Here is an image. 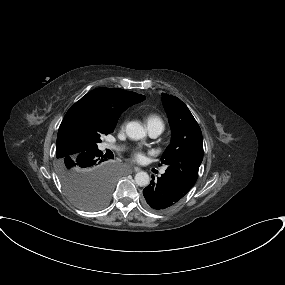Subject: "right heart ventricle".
Here are the masks:
<instances>
[{
	"label": "right heart ventricle",
	"instance_id": "obj_1",
	"mask_svg": "<svg viewBox=\"0 0 285 285\" xmlns=\"http://www.w3.org/2000/svg\"><path fill=\"white\" fill-rule=\"evenodd\" d=\"M147 125L149 127H160L164 129V122L162 118L157 114H150L147 117Z\"/></svg>",
	"mask_w": 285,
	"mask_h": 285
}]
</instances>
